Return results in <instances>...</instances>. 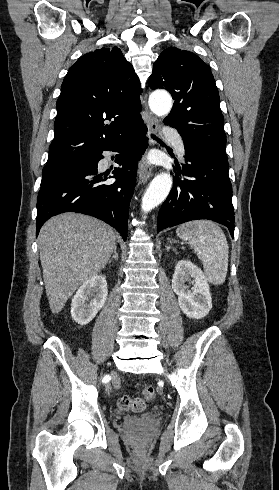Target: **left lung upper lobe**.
<instances>
[{
	"mask_svg": "<svg viewBox=\"0 0 279 490\" xmlns=\"http://www.w3.org/2000/svg\"><path fill=\"white\" fill-rule=\"evenodd\" d=\"M152 89L165 88L175 103L164 123L183 139L209 143L223 151L226 146L224 117L210 67L192 52L165 49L153 65Z\"/></svg>",
	"mask_w": 279,
	"mask_h": 490,
	"instance_id": "left-lung-upper-lobe-1",
	"label": "left lung upper lobe"
}]
</instances>
